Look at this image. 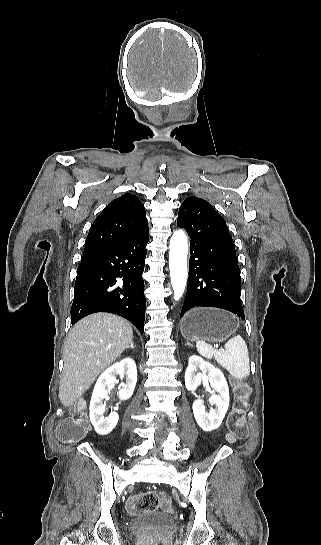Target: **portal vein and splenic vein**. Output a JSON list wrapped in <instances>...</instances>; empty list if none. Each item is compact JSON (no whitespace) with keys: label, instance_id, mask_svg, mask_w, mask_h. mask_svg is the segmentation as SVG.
Here are the masks:
<instances>
[{"label":"portal vein and splenic vein","instance_id":"1","mask_svg":"<svg viewBox=\"0 0 321 545\" xmlns=\"http://www.w3.org/2000/svg\"><path fill=\"white\" fill-rule=\"evenodd\" d=\"M221 346V343L219 341H215L213 344H212V352H217V350L219 349V347Z\"/></svg>","mask_w":321,"mask_h":545}]
</instances>
